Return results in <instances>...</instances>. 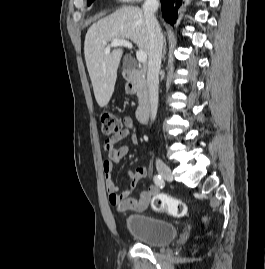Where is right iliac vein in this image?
Returning a JSON list of instances; mask_svg holds the SVG:
<instances>
[{"mask_svg": "<svg viewBox=\"0 0 265 269\" xmlns=\"http://www.w3.org/2000/svg\"><path fill=\"white\" fill-rule=\"evenodd\" d=\"M156 168L158 173L167 181L173 180V175L171 169L161 160L156 162Z\"/></svg>", "mask_w": 265, "mask_h": 269, "instance_id": "right-iliac-vein-1", "label": "right iliac vein"}]
</instances>
